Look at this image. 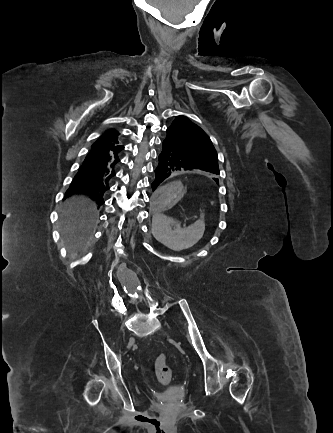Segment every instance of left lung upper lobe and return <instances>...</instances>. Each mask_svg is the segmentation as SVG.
Segmentation results:
<instances>
[{
  "mask_svg": "<svg viewBox=\"0 0 333 433\" xmlns=\"http://www.w3.org/2000/svg\"><path fill=\"white\" fill-rule=\"evenodd\" d=\"M166 132L165 139L170 141L172 147L180 149L219 173L217 152L210 138L189 118L177 116Z\"/></svg>",
  "mask_w": 333,
  "mask_h": 433,
  "instance_id": "1",
  "label": "left lung upper lobe"
}]
</instances>
